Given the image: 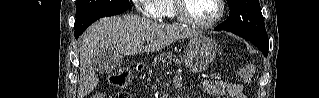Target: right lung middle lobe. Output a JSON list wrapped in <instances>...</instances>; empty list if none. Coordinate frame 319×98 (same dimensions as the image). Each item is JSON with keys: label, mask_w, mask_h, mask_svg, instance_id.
Segmentation results:
<instances>
[{"label": "right lung middle lobe", "mask_w": 319, "mask_h": 98, "mask_svg": "<svg viewBox=\"0 0 319 98\" xmlns=\"http://www.w3.org/2000/svg\"><path fill=\"white\" fill-rule=\"evenodd\" d=\"M130 8L129 0H77L76 18L101 12L125 11Z\"/></svg>", "instance_id": "dd1d6c3e"}]
</instances>
